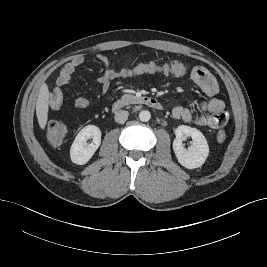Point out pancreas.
<instances>
[{"mask_svg":"<svg viewBox=\"0 0 267 267\" xmlns=\"http://www.w3.org/2000/svg\"><path fill=\"white\" fill-rule=\"evenodd\" d=\"M123 99L127 100V101H132L135 99V96L130 95V94H125L122 96Z\"/></svg>","mask_w":267,"mask_h":267,"instance_id":"obj_1","label":"pancreas"}]
</instances>
